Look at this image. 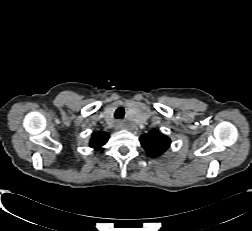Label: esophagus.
I'll return each instance as SVG.
<instances>
[{"label":"esophagus","instance_id":"obj_1","mask_svg":"<svg viewBox=\"0 0 252 231\" xmlns=\"http://www.w3.org/2000/svg\"><path fill=\"white\" fill-rule=\"evenodd\" d=\"M122 128H123V123H122V121H120V120L116 121V123H115V129H116V130H120V129H122Z\"/></svg>","mask_w":252,"mask_h":231}]
</instances>
